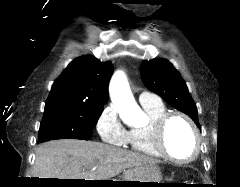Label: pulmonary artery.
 I'll list each match as a JSON object with an SVG mask.
<instances>
[{"instance_id": "obj_1", "label": "pulmonary artery", "mask_w": 240, "mask_h": 187, "mask_svg": "<svg viewBox=\"0 0 240 187\" xmlns=\"http://www.w3.org/2000/svg\"><path fill=\"white\" fill-rule=\"evenodd\" d=\"M139 102L142 105H147V104H156L161 101L157 95L147 91H143L139 94Z\"/></svg>"}]
</instances>
